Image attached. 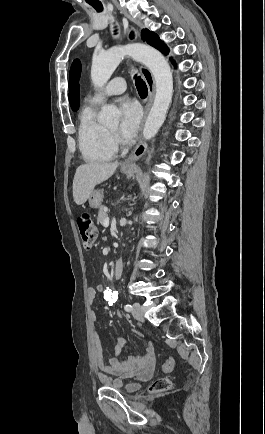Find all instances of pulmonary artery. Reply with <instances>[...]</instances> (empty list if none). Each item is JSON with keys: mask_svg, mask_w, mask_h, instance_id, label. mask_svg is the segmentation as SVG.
I'll use <instances>...</instances> for the list:
<instances>
[{"mask_svg": "<svg viewBox=\"0 0 265 434\" xmlns=\"http://www.w3.org/2000/svg\"><path fill=\"white\" fill-rule=\"evenodd\" d=\"M127 80V77L124 75L112 79L110 84H108V89L105 92L94 93L92 100L99 103L105 98L106 94L123 93L128 87Z\"/></svg>", "mask_w": 265, "mask_h": 434, "instance_id": "pulmonary-artery-1", "label": "pulmonary artery"}]
</instances>
